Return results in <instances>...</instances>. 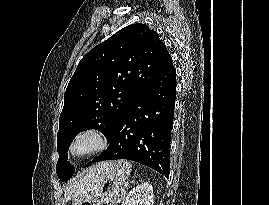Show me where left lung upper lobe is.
<instances>
[{"label": "left lung upper lobe", "mask_w": 269, "mask_h": 205, "mask_svg": "<svg viewBox=\"0 0 269 205\" xmlns=\"http://www.w3.org/2000/svg\"><path fill=\"white\" fill-rule=\"evenodd\" d=\"M170 57L157 32L145 24L129 25L91 49L79 62L59 118L56 172L72 177L67 151L78 133L98 129L106 137L121 114L146 89Z\"/></svg>", "instance_id": "left-lung-upper-lobe-1"}]
</instances>
